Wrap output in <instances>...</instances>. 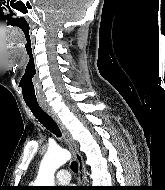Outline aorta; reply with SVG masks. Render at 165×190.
Returning a JSON list of instances; mask_svg holds the SVG:
<instances>
[{"label": "aorta", "instance_id": "1", "mask_svg": "<svg viewBox=\"0 0 165 190\" xmlns=\"http://www.w3.org/2000/svg\"><path fill=\"white\" fill-rule=\"evenodd\" d=\"M71 157V154L61 148L49 149L45 154L36 180L37 186H53L54 173Z\"/></svg>", "mask_w": 165, "mask_h": 190}]
</instances>
